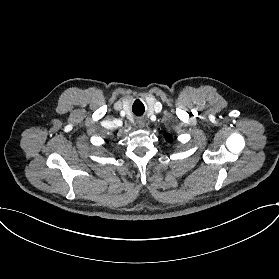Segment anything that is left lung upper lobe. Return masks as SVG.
Masks as SVG:
<instances>
[{
	"instance_id": "obj_1",
	"label": "left lung upper lobe",
	"mask_w": 279,
	"mask_h": 279,
	"mask_svg": "<svg viewBox=\"0 0 279 279\" xmlns=\"http://www.w3.org/2000/svg\"><path fill=\"white\" fill-rule=\"evenodd\" d=\"M165 138L167 141H172V136L170 134H166Z\"/></svg>"
}]
</instances>
